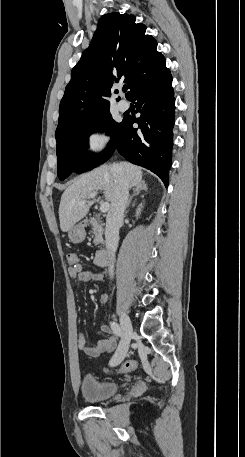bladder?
I'll return each mask as SVG.
<instances>
[{"instance_id":"31cf9c89","label":"bladder","mask_w":245,"mask_h":457,"mask_svg":"<svg viewBox=\"0 0 245 457\" xmlns=\"http://www.w3.org/2000/svg\"><path fill=\"white\" fill-rule=\"evenodd\" d=\"M81 389L83 397L93 402L115 395L118 390V384L107 383L87 374L81 380Z\"/></svg>"}]
</instances>
